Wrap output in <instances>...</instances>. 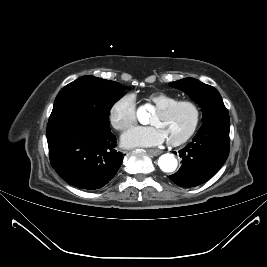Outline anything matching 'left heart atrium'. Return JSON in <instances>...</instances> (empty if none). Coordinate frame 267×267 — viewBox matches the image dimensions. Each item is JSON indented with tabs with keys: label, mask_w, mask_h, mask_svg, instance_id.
<instances>
[{
	"label": "left heart atrium",
	"mask_w": 267,
	"mask_h": 267,
	"mask_svg": "<svg viewBox=\"0 0 267 267\" xmlns=\"http://www.w3.org/2000/svg\"><path fill=\"white\" fill-rule=\"evenodd\" d=\"M166 140L164 132L157 126L135 127L122 136V142L127 147H150Z\"/></svg>",
	"instance_id": "obj_1"
}]
</instances>
